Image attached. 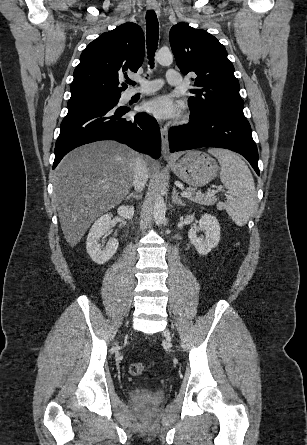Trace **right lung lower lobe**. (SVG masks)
I'll return each instance as SVG.
<instances>
[{
  "instance_id": "98d812e1",
  "label": "right lung lower lobe",
  "mask_w": 307,
  "mask_h": 445,
  "mask_svg": "<svg viewBox=\"0 0 307 445\" xmlns=\"http://www.w3.org/2000/svg\"><path fill=\"white\" fill-rule=\"evenodd\" d=\"M118 102L98 101L68 107L55 146L53 169L74 148L98 140H116L157 159L161 155L160 129L147 114L122 118L129 111Z\"/></svg>"
}]
</instances>
